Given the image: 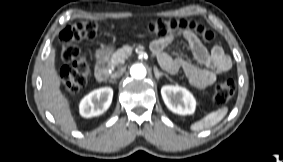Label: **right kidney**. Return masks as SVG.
Wrapping results in <instances>:
<instances>
[{
	"label": "right kidney",
	"mask_w": 283,
	"mask_h": 162,
	"mask_svg": "<svg viewBox=\"0 0 283 162\" xmlns=\"http://www.w3.org/2000/svg\"><path fill=\"white\" fill-rule=\"evenodd\" d=\"M113 89L103 87L93 90L80 102L79 112L82 117L90 118L103 114L111 105Z\"/></svg>",
	"instance_id": "1"
}]
</instances>
